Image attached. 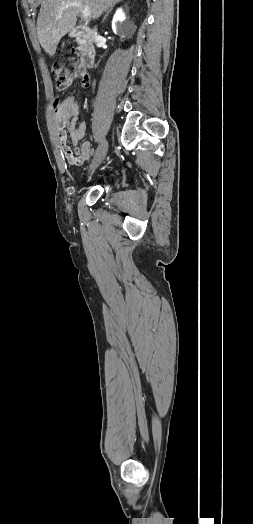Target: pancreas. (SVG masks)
<instances>
[{"label":"pancreas","mask_w":253,"mask_h":524,"mask_svg":"<svg viewBox=\"0 0 253 524\" xmlns=\"http://www.w3.org/2000/svg\"><path fill=\"white\" fill-rule=\"evenodd\" d=\"M79 48H80V49H82V45H80V47H79Z\"/></svg>","instance_id":"1"}]
</instances>
